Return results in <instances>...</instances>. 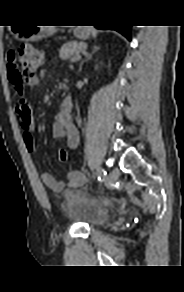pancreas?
<instances>
[{"label": "pancreas", "mask_w": 184, "mask_h": 292, "mask_svg": "<svg viewBox=\"0 0 184 292\" xmlns=\"http://www.w3.org/2000/svg\"><path fill=\"white\" fill-rule=\"evenodd\" d=\"M85 48L86 45L82 42L70 41L62 45L59 50V55L61 59H68L72 56L79 55Z\"/></svg>", "instance_id": "cf45deb5"}]
</instances>
